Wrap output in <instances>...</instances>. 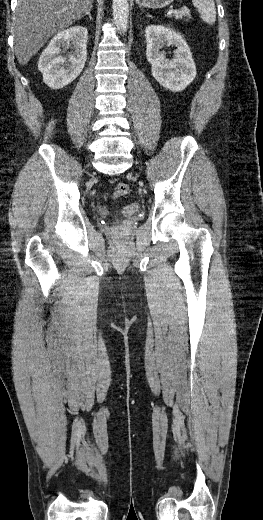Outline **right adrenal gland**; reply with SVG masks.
<instances>
[{"instance_id":"1","label":"right adrenal gland","mask_w":263,"mask_h":520,"mask_svg":"<svg viewBox=\"0 0 263 520\" xmlns=\"http://www.w3.org/2000/svg\"><path fill=\"white\" fill-rule=\"evenodd\" d=\"M91 9H92V6L89 8V10L85 13V15H83L82 17H86L88 16L90 20H92V17H91Z\"/></svg>"}]
</instances>
